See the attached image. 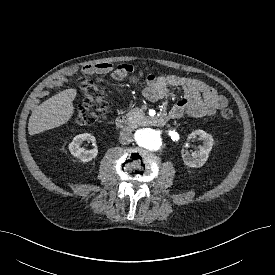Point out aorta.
Segmentation results:
<instances>
[{
	"mask_svg": "<svg viewBox=\"0 0 275 275\" xmlns=\"http://www.w3.org/2000/svg\"><path fill=\"white\" fill-rule=\"evenodd\" d=\"M136 143L145 149L156 151L161 146L159 134L150 128L139 129L135 133Z\"/></svg>",
	"mask_w": 275,
	"mask_h": 275,
	"instance_id": "aorta-1",
	"label": "aorta"
}]
</instances>
